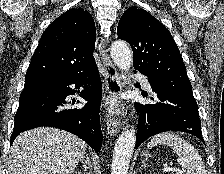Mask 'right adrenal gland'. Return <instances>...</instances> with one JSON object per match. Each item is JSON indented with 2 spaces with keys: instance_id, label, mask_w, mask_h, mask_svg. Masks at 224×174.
I'll use <instances>...</instances> for the list:
<instances>
[{
  "instance_id": "1",
  "label": "right adrenal gland",
  "mask_w": 224,
  "mask_h": 174,
  "mask_svg": "<svg viewBox=\"0 0 224 174\" xmlns=\"http://www.w3.org/2000/svg\"><path fill=\"white\" fill-rule=\"evenodd\" d=\"M87 171V172H86ZM83 174H92L91 170H90V161L89 159L87 160V162L84 165V170H83ZM78 174H82L81 172H78Z\"/></svg>"
}]
</instances>
